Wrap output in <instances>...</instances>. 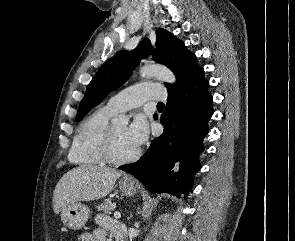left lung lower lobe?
<instances>
[{
  "instance_id": "1",
  "label": "left lung lower lobe",
  "mask_w": 295,
  "mask_h": 241,
  "mask_svg": "<svg viewBox=\"0 0 295 241\" xmlns=\"http://www.w3.org/2000/svg\"><path fill=\"white\" fill-rule=\"evenodd\" d=\"M204 71L183 88L168 92L165 111L160 117L164 132L155 138L135 163L119 169L134 175L150 191L185 196L200 169L199 154L208 133L212 109L209 81Z\"/></svg>"
}]
</instances>
